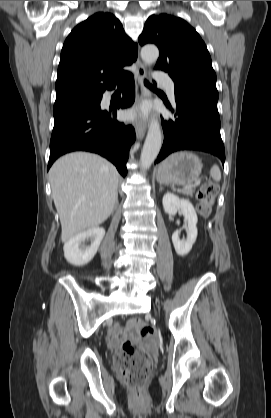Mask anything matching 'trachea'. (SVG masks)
I'll list each match as a JSON object with an SVG mask.
<instances>
[{"instance_id":"obj_1","label":"trachea","mask_w":271,"mask_h":418,"mask_svg":"<svg viewBox=\"0 0 271 418\" xmlns=\"http://www.w3.org/2000/svg\"><path fill=\"white\" fill-rule=\"evenodd\" d=\"M145 85L148 87H153L148 81L145 80Z\"/></svg>"}]
</instances>
